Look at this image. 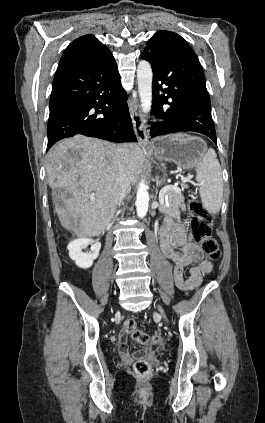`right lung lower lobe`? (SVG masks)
Returning <instances> with one entry per match:
<instances>
[{"mask_svg": "<svg viewBox=\"0 0 265 423\" xmlns=\"http://www.w3.org/2000/svg\"><path fill=\"white\" fill-rule=\"evenodd\" d=\"M126 100L116 63L56 73L50 97L47 150L76 134L116 143L137 142Z\"/></svg>", "mask_w": 265, "mask_h": 423, "instance_id": "1", "label": "right lung lower lobe"}]
</instances>
